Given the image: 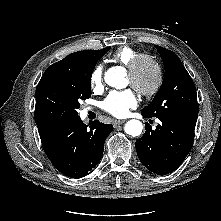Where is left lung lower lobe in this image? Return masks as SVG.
Segmentation results:
<instances>
[{
    "mask_svg": "<svg viewBox=\"0 0 221 221\" xmlns=\"http://www.w3.org/2000/svg\"><path fill=\"white\" fill-rule=\"evenodd\" d=\"M194 130L195 126L165 121H161L155 130L146 126L145 134L135 143L141 163L158 175L176 170L193 146Z\"/></svg>",
    "mask_w": 221,
    "mask_h": 221,
    "instance_id": "1",
    "label": "left lung lower lobe"
}]
</instances>
